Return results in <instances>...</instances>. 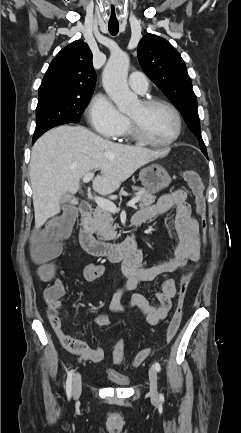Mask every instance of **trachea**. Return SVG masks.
<instances>
[{"instance_id":"obj_1","label":"trachea","mask_w":241,"mask_h":433,"mask_svg":"<svg viewBox=\"0 0 241 433\" xmlns=\"http://www.w3.org/2000/svg\"><path fill=\"white\" fill-rule=\"evenodd\" d=\"M110 9L111 11H114L115 9V4H110ZM108 29L111 35L115 36L117 35L118 31H119V23L118 20L116 19V14H111V19L109 20L108 23Z\"/></svg>"}]
</instances>
